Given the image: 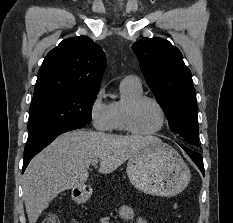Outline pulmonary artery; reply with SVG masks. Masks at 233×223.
<instances>
[{
  "mask_svg": "<svg viewBox=\"0 0 233 223\" xmlns=\"http://www.w3.org/2000/svg\"><path fill=\"white\" fill-rule=\"evenodd\" d=\"M122 83H133V84L141 85L140 79L135 75L126 76L123 79Z\"/></svg>",
  "mask_w": 233,
  "mask_h": 223,
  "instance_id": "e3ab8cb5",
  "label": "pulmonary artery"
}]
</instances>
